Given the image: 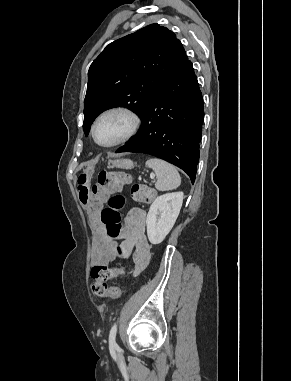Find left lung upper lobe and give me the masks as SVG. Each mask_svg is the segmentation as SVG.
<instances>
[{
    "label": "left lung upper lobe",
    "instance_id": "1",
    "mask_svg": "<svg viewBox=\"0 0 291 381\" xmlns=\"http://www.w3.org/2000/svg\"><path fill=\"white\" fill-rule=\"evenodd\" d=\"M186 52L176 35L158 24L109 45L88 71L83 130L103 111L126 107L139 116L150 97L178 69Z\"/></svg>",
    "mask_w": 291,
    "mask_h": 381
}]
</instances>
